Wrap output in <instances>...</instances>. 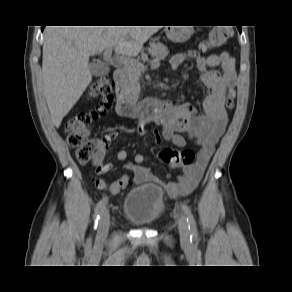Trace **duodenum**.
<instances>
[{
  "label": "duodenum",
  "instance_id": "obj_1",
  "mask_svg": "<svg viewBox=\"0 0 292 292\" xmlns=\"http://www.w3.org/2000/svg\"><path fill=\"white\" fill-rule=\"evenodd\" d=\"M124 72L122 69H116L113 74L116 94V110L122 117H135L141 121H149L159 114L165 108L166 101L163 99H130L124 92Z\"/></svg>",
  "mask_w": 292,
  "mask_h": 292
}]
</instances>
